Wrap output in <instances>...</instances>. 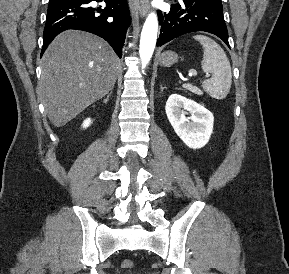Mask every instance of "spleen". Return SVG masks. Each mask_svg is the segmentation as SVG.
Instances as JSON below:
<instances>
[{
	"label": "spleen",
	"instance_id": "obj_1",
	"mask_svg": "<svg viewBox=\"0 0 289 274\" xmlns=\"http://www.w3.org/2000/svg\"><path fill=\"white\" fill-rule=\"evenodd\" d=\"M203 46L202 70L211 73L210 79L202 82V88L215 99H224L232 84L231 66L224 50L211 38L204 35L193 37Z\"/></svg>",
	"mask_w": 289,
	"mask_h": 274
}]
</instances>
